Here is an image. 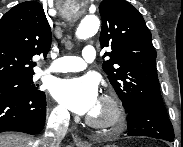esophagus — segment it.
I'll list each match as a JSON object with an SVG mask.
<instances>
[{
  "label": "esophagus",
  "mask_w": 183,
  "mask_h": 147,
  "mask_svg": "<svg viewBox=\"0 0 183 147\" xmlns=\"http://www.w3.org/2000/svg\"><path fill=\"white\" fill-rule=\"evenodd\" d=\"M72 138L77 146L81 147L88 146V143L86 141H83L76 133H72Z\"/></svg>",
  "instance_id": "34e87169"
}]
</instances>
